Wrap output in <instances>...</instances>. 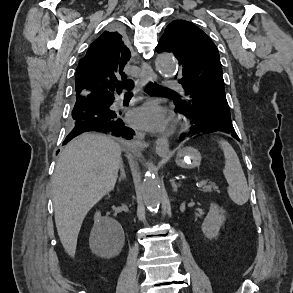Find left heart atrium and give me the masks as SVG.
Listing matches in <instances>:
<instances>
[{
  "label": "left heart atrium",
  "instance_id": "obj_1",
  "mask_svg": "<svg viewBox=\"0 0 293 293\" xmlns=\"http://www.w3.org/2000/svg\"><path fill=\"white\" fill-rule=\"evenodd\" d=\"M128 120L131 125L144 129L162 128L166 124L163 110L154 103H148L133 110Z\"/></svg>",
  "mask_w": 293,
  "mask_h": 293
}]
</instances>
